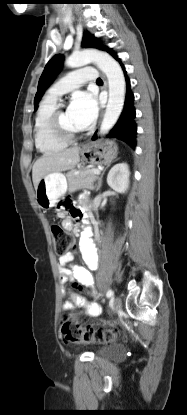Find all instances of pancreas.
<instances>
[{
	"instance_id": "1",
	"label": "pancreas",
	"mask_w": 187,
	"mask_h": 415,
	"mask_svg": "<svg viewBox=\"0 0 187 415\" xmlns=\"http://www.w3.org/2000/svg\"><path fill=\"white\" fill-rule=\"evenodd\" d=\"M90 170L92 169L81 171L78 174H75V170L67 173L69 193H73L80 189L93 190L95 188L94 182L98 179V176L91 173Z\"/></svg>"
}]
</instances>
